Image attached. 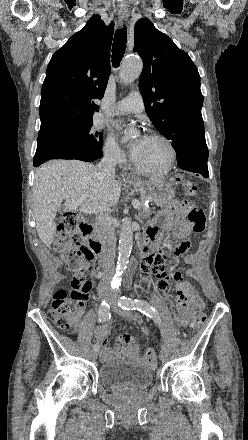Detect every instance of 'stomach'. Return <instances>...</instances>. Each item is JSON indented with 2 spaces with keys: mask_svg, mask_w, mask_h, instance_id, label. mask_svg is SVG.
<instances>
[{
  "mask_svg": "<svg viewBox=\"0 0 248 440\" xmlns=\"http://www.w3.org/2000/svg\"><path fill=\"white\" fill-rule=\"evenodd\" d=\"M129 184L140 191L141 197L152 200L157 206H165L175 197V189L165 181L131 180Z\"/></svg>",
  "mask_w": 248,
  "mask_h": 440,
  "instance_id": "1",
  "label": "stomach"
}]
</instances>
